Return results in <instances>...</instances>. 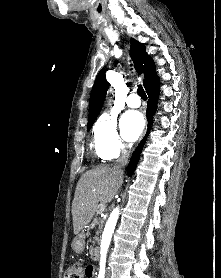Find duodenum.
Masks as SVG:
<instances>
[{
  "mask_svg": "<svg viewBox=\"0 0 221 278\" xmlns=\"http://www.w3.org/2000/svg\"><path fill=\"white\" fill-rule=\"evenodd\" d=\"M91 257L94 261L99 260V250L97 247H92L91 248Z\"/></svg>",
  "mask_w": 221,
  "mask_h": 278,
  "instance_id": "obj_1",
  "label": "duodenum"
}]
</instances>
